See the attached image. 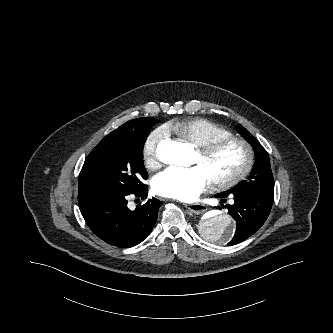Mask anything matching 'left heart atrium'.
I'll use <instances>...</instances> for the list:
<instances>
[{
    "mask_svg": "<svg viewBox=\"0 0 333 333\" xmlns=\"http://www.w3.org/2000/svg\"><path fill=\"white\" fill-rule=\"evenodd\" d=\"M211 179L200 165L169 167L155 178L154 189L162 196L181 201L194 200L210 184Z\"/></svg>",
    "mask_w": 333,
    "mask_h": 333,
    "instance_id": "39dd6f15",
    "label": "left heart atrium"
}]
</instances>
